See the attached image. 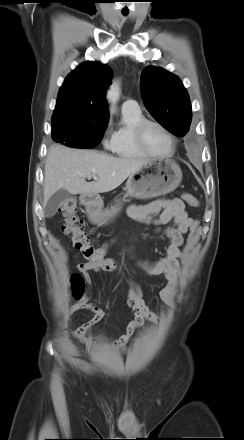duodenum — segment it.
<instances>
[{"instance_id": "duodenum-1", "label": "duodenum", "mask_w": 244, "mask_h": 440, "mask_svg": "<svg viewBox=\"0 0 244 440\" xmlns=\"http://www.w3.org/2000/svg\"><path fill=\"white\" fill-rule=\"evenodd\" d=\"M84 200H85V201H88V198H85Z\"/></svg>"}]
</instances>
